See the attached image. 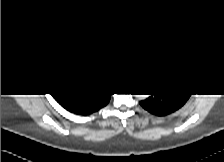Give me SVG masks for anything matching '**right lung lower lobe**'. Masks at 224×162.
I'll list each match as a JSON object with an SVG mask.
<instances>
[{
	"instance_id": "right-lung-lower-lobe-1",
	"label": "right lung lower lobe",
	"mask_w": 224,
	"mask_h": 162,
	"mask_svg": "<svg viewBox=\"0 0 224 162\" xmlns=\"http://www.w3.org/2000/svg\"><path fill=\"white\" fill-rule=\"evenodd\" d=\"M108 102H109V98L104 99V100H102V101H99V102L94 106L93 110L90 111V112H84V111H81V112H75V113H77V114H82V115H88V114H91V113H93V112L99 110L100 108H102L103 106H105Z\"/></svg>"
}]
</instances>
